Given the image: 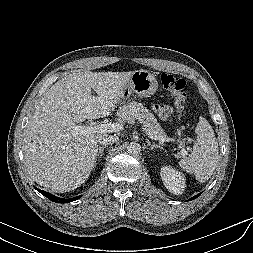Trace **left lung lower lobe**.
Here are the masks:
<instances>
[{
	"mask_svg": "<svg viewBox=\"0 0 253 253\" xmlns=\"http://www.w3.org/2000/svg\"><path fill=\"white\" fill-rule=\"evenodd\" d=\"M200 194H201V193H200ZM200 194H198V195L192 197L191 199H189V201H190V200H193V199H195V198H197Z\"/></svg>",
	"mask_w": 253,
	"mask_h": 253,
	"instance_id": "obj_1",
	"label": "left lung lower lobe"
}]
</instances>
